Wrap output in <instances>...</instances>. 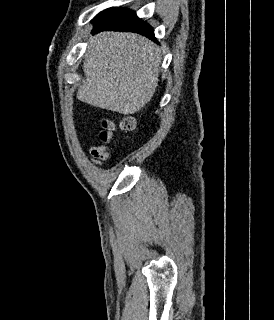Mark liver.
<instances>
[{
  "mask_svg": "<svg viewBox=\"0 0 274 320\" xmlns=\"http://www.w3.org/2000/svg\"><path fill=\"white\" fill-rule=\"evenodd\" d=\"M87 46L78 100L124 116L142 110L159 82L162 58L156 44L131 32H101Z\"/></svg>",
  "mask_w": 274,
  "mask_h": 320,
  "instance_id": "liver-1",
  "label": "liver"
}]
</instances>
